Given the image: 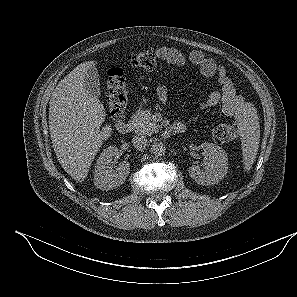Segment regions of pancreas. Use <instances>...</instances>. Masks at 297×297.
<instances>
[{
  "label": "pancreas",
  "mask_w": 297,
  "mask_h": 297,
  "mask_svg": "<svg viewBox=\"0 0 297 297\" xmlns=\"http://www.w3.org/2000/svg\"><path fill=\"white\" fill-rule=\"evenodd\" d=\"M131 123L137 134L152 135L159 131L160 126L152 120V114L149 110L139 111L132 119Z\"/></svg>",
  "instance_id": "pancreas-1"
}]
</instances>
